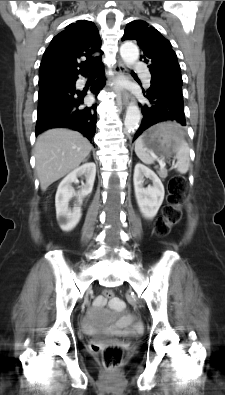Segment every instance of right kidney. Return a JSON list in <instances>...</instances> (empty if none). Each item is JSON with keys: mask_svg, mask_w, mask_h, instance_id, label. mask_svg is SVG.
Masks as SVG:
<instances>
[{"mask_svg": "<svg viewBox=\"0 0 225 395\" xmlns=\"http://www.w3.org/2000/svg\"><path fill=\"white\" fill-rule=\"evenodd\" d=\"M81 176H85L86 182L82 184L81 190L76 193L71 184L77 182V178ZM95 176L96 165L89 162L73 170L59 184L55 196L56 218L63 231L72 230L79 222L81 218L80 206L83 198L92 192ZM73 196L77 197V201L71 209L69 208V201Z\"/></svg>", "mask_w": 225, "mask_h": 395, "instance_id": "1", "label": "right kidney"}]
</instances>
